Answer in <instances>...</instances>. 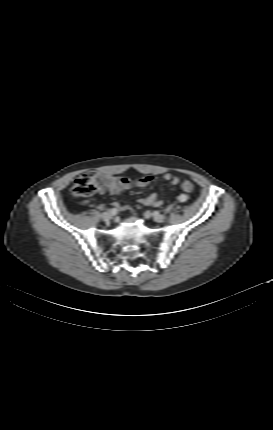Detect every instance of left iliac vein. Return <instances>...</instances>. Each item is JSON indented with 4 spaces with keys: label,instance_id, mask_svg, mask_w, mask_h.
<instances>
[{
    "label": "left iliac vein",
    "instance_id": "left-iliac-vein-1",
    "mask_svg": "<svg viewBox=\"0 0 273 430\" xmlns=\"http://www.w3.org/2000/svg\"><path fill=\"white\" fill-rule=\"evenodd\" d=\"M152 218L156 221V222H163L165 220V215L163 214H159L157 212L152 214Z\"/></svg>",
    "mask_w": 273,
    "mask_h": 430
}]
</instances>
